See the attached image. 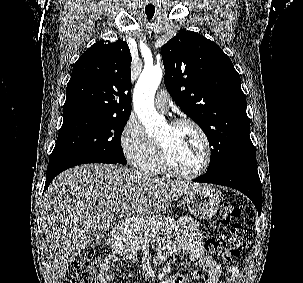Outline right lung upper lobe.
Instances as JSON below:
<instances>
[{"label":"right lung upper lobe","mask_w":303,"mask_h":283,"mask_svg":"<svg viewBox=\"0 0 303 283\" xmlns=\"http://www.w3.org/2000/svg\"><path fill=\"white\" fill-rule=\"evenodd\" d=\"M131 54L126 42L98 41L75 62L67 84L63 116L131 114Z\"/></svg>","instance_id":"1"}]
</instances>
